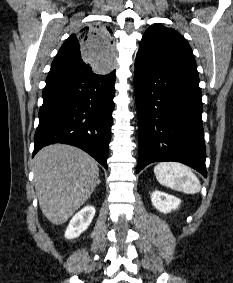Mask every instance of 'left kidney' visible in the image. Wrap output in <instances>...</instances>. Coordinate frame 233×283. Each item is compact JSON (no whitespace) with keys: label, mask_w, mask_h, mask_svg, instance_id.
Returning <instances> with one entry per match:
<instances>
[{"label":"left kidney","mask_w":233,"mask_h":283,"mask_svg":"<svg viewBox=\"0 0 233 283\" xmlns=\"http://www.w3.org/2000/svg\"><path fill=\"white\" fill-rule=\"evenodd\" d=\"M151 202L157 210L167 214L177 209L181 200L164 192L154 191L151 195Z\"/></svg>","instance_id":"1"}]
</instances>
